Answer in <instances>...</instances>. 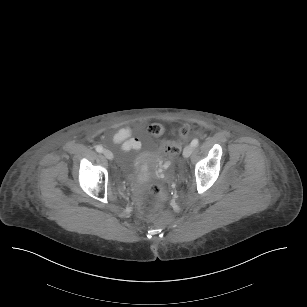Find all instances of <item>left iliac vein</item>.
<instances>
[{
    "instance_id": "left-iliac-vein-1",
    "label": "left iliac vein",
    "mask_w": 307,
    "mask_h": 307,
    "mask_svg": "<svg viewBox=\"0 0 307 307\" xmlns=\"http://www.w3.org/2000/svg\"><path fill=\"white\" fill-rule=\"evenodd\" d=\"M192 151H193V146L191 145L186 146L183 150V157L188 158L191 155Z\"/></svg>"
}]
</instances>
